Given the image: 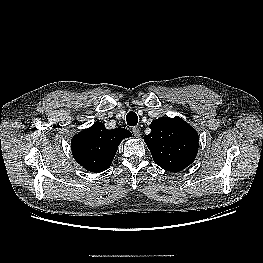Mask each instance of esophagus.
Wrapping results in <instances>:
<instances>
[{"label": "esophagus", "instance_id": "34e87169", "mask_svg": "<svg viewBox=\"0 0 263 263\" xmlns=\"http://www.w3.org/2000/svg\"><path fill=\"white\" fill-rule=\"evenodd\" d=\"M132 133L134 134L135 137H139L140 136V130L139 128L136 126V127H133L132 128Z\"/></svg>", "mask_w": 263, "mask_h": 263}]
</instances>
